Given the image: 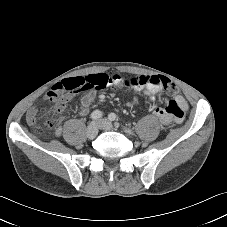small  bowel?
<instances>
[{
    "label": "small bowel",
    "instance_id": "1",
    "mask_svg": "<svg viewBox=\"0 0 227 227\" xmlns=\"http://www.w3.org/2000/svg\"><path fill=\"white\" fill-rule=\"evenodd\" d=\"M151 76H118L107 74H89L85 76L72 77L70 79L57 82L49 89L45 99L55 102V109L60 113L65 108L66 104L71 100L73 95L82 94L79 114L85 116L89 112V108L95 99V90H102L110 86L118 87H133L144 92L150 101H154L156 95L161 91L160 84H143L141 81ZM188 104L185 98L181 95H175L168 105L155 108V115L163 124H169L173 121H181L184 117ZM37 107H31L26 114V120L29 125L37 124Z\"/></svg>",
    "mask_w": 227,
    "mask_h": 227
}]
</instances>
